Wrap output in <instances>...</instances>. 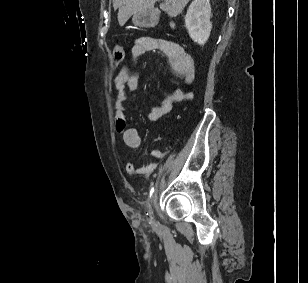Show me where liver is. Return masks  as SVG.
Masks as SVG:
<instances>
[{"instance_id":"liver-1","label":"liver","mask_w":308,"mask_h":283,"mask_svg":"<svg viewBox=\"0 0 308 283\" xmlns=\"http://www.w3.org/2000/svg\"><path fill=\"white\" fill-rule=\"evenodd\" d=\"M157 0H113V6L118 10V22L123 26L128 19L137 13L147 12L153 9ZM190 0H164L160 9L169 16L179 15Z\"/></svg>"}]
</instances>
